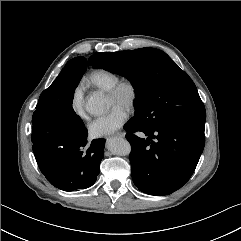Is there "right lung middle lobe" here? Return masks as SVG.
Segmentation results:
<instances>
[{
    "label": "right lung middle lobe",
    "mask_w": 241,
    "mask_h": 241,
    "mask_svg": "<svg viewBox=\"0 0 241 241\" xmlns=\"http://www.w3.org/2000/svg\"><path fill=\"white\" fill-rule=\"evenodd\" d=\"M84 71L61 72L50 87L42 92L33 113V128L57 147L78 140L87 130L72 108L74 90Z\"/></svg>",
    "instance_id": "dd1d6c3e"
}]
</instances>
